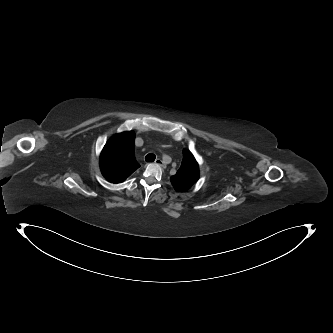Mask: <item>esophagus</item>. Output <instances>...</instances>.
Returning <instances> with one entry per match:
<instances>
[{"label":"esophagus","instance_id":"esophagus-1","mask_svg":"<svg viewBox=\"0 0 333 333\" xmlns=\"http://www.w3.org/2000/svg\"><path fill=\"white\" fill-rule=\"evenodd\" d=\"M154 163L156 165L164 166V163H163V161L160 158H156V160L154 161Z\"/></svg>","mask_w":333,"mask_h":333}]
</instances>
